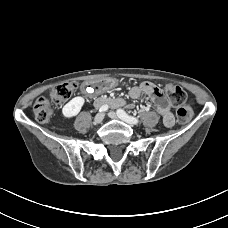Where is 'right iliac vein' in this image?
Instances as JSON below:
<instances>
[{"label":"right iliac vein","mask_w":228,"mask_h":228,"mask_svg":"<svg viewBox=\"0 0 228 228\" xmlns=\"http://www.w3.org/2000/svg\"><path fill=\"white\" fill-rule=\"evenodd\" d=\"M104 119V113H98L95 117H94V124H100Z\"/></svg>","instance_id":"63e3f726"}]
</instances>
